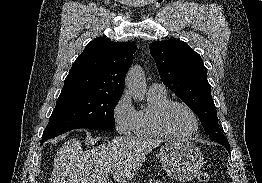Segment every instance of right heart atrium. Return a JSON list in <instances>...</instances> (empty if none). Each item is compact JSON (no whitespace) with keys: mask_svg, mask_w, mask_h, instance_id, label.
Segmentation results:
<instances>
[{"mask_svg":"<svg viewBox=\"0 0 262 183\" xmlns=\"http://www.w3.org/2000/svg\"><path fill=\"white\" fill-rule=\"evenodd\" d=\"M137 111L134 108L131 98L124 92L112 108V118L116 131L120 134L133 132L136 123Z\"/></svg>","mask_w":262,"mask_h":183,"instance_id":"1","label":"right heart atrium"}]
</instances>
